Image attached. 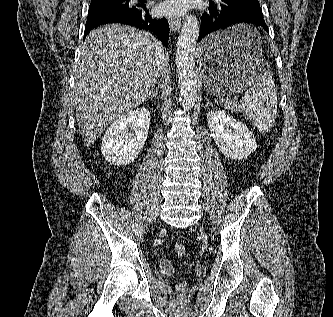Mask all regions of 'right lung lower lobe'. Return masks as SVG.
I'll return each mask as SVG.
<instances>
[{"instance_id": "obj_1", "label": "right lung lower lobe", "mask_w": 333, "mask_h": 317, "mask_svg": "<svg viewBox=\"0 0 333 317\" xmlns=\"http://www.w3.org/2000/svg\"><path fill=\"white\" fill-rule=\"evenodd\" d=\"M118 23L153 32L168 47L169 25L165 18L154 19L149 15L146 5L137 4L131 8H108L89 11L85 25L84 38L93 28L104 24Z\"/></svg>"}]
</instances>
